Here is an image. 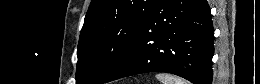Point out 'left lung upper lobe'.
Returning a JSON list of instances; mask_svg holds the SVG:
<instances>
[{
    "label": "left lung upper lobe",
    "instance_id": "obj_1",
    "mask_svg": "<svg viewBox=\"0 0 260 84\" xmlns=\"http://www.w3.org/2000/svg\"><path fill=\"white\" fill-rule=\"evenodd\" d=\"M156 0H92L77 48L76 84H103L128 52Z\"/></svg>",
    "mask_w": 260,
    "mask_h": 84
}]
</instances>
